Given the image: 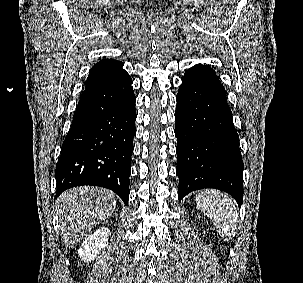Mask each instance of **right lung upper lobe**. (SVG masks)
Segmentation results:
<instances>
[{"label": "right lung upper lobe", "mask_w": 303, "mask_h": 283, "mask_svg": "<svg viewBox=\"0 0 303 283\" xmlns=\"http://www.w3.org/2000/svg\"><path fill=\"white\" fill-rule=\"evenodd\" d=\"M123 63L121 61L113 59H102L97 62L90 70L85 89L97 86L114 80L126 71L123 69Z\"/></svg>", "instance_id": "obj_1"}]
</instances>
